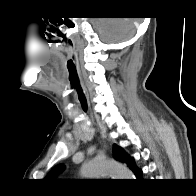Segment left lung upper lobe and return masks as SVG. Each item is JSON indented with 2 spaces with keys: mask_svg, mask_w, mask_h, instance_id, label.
<instances>
[{
  "mask_svg": "<svg viewBox=\"0 0 196 196\" xmlns=\"http://www.w3.org/2000/svg\"><path fill=\"white\" fill-rule=\"evenodd\" d=\"M113 155H114L115 159L126 163L127 166L129 168H131V166L134 162L133 158H131L121 147L114 145L113 146ZM63 168H64V166H62V165L56 166L47 174L45 179L52 180L56 176V174H58L60 171H62Z\"/></svg>",
  "mask_w": 196,
  "mask_h": 196,
  "instance_id": "1",
  "label": "left lung upper lobe"
}]
</instances>
